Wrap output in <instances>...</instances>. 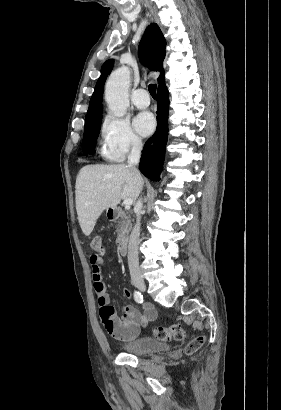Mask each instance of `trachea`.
<instances>
[{
  "label": "trachea",
  "instance_id": "3493384b",
  "mask_svg": "<svg viewBox=\"0 0 281 410\" xmlns=\"http://www.w3.org/2000/svg\"><path fill=\"white\" fill-rule=\"evenodd\" d=\"M156 88H157L156 84H150L148 87L149 92L153 98H155L156 96Z\"/></svg>",
  "mask_w": 281,
  "mask_h": 410
}]
</instances>
